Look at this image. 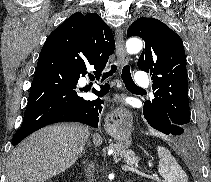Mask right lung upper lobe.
Masks as SVG:
<instances>
[{
    "instance_id": "cb5924a9",
    "label": "right lung upper lobe",
    "mask_w": 211,
    "mask_h": 182,
    "mask_svg": "<svg viewBox=\"0 0 211 182\" xmlns=\"http://www.w3.org/2000/svg\"><path fill=\"white\" fill-rule=\"evenodd\" d=\"M82 51L95 56L100 66H105L114 52L115 41L109 26L96 13H74L64 23ZM60 25V26H61Z\"/></svg>"
}]
</instances>
